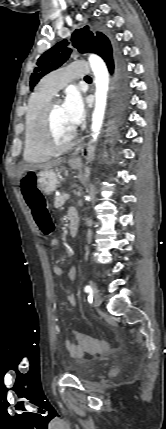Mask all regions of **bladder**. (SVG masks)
<instances>
[{
    "mask_svg": "<svg viewBox=\"0 0 166 429\" xmlns=\"http://www.w3.org/2000/svg\"><path fill=\"white\" fill-rule=\"evenodd\" d=\"M99 369V366L97 365H92V364H87L85 365V367L83 369H81L77 375L80 377H87V376H91L93 374H95Z\"/></svg>",
    "mask_w": 166,
    "mask_h": 429,
    "instance_id": "31cf9c89",
    "label": "bladder"
}]
</instances>
